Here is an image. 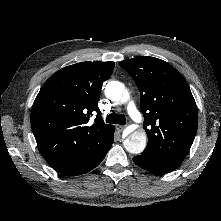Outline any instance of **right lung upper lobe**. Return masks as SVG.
<instances>
[{"label": "right lung upper lobe", "mask_w": 221, "mask_h": 221, "mask_svg": "<svg viewBox=\"0 0 221 221\" xmlns=\"http://www.w3.org/2000/svg\"><path fill=\"white\" fill-rule=\"evenodd\" d=\"M113 62H81L54 73L39 91L31 111L38 148L58 172L73 170L102 153L114 127L105 124L98 109L102 84ZM96 119L89 122L92 113Z\"/></svg>", "instance_id": "obj_1"}]
</instances>
